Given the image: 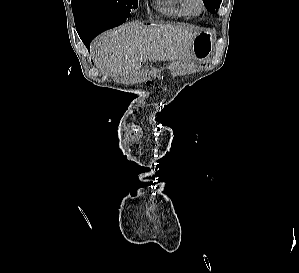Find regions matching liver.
<instances>
[{"label": "liver", "instance_id": "liver-1", "mask_svg": "<svg viewBox=\"0 0 299 273\" xmlns=\"http://www.w3.org/2000/svg\"><path fill=\"white\" fill-rule=\"evenodd\" d=\"M199 28L189 25L130 24L107 31L92 44L96 66L114 74L136 73L143 61L188 60Z\"/></svg>", "mask_w": 299, "mask_h": 273}]
</instances>
